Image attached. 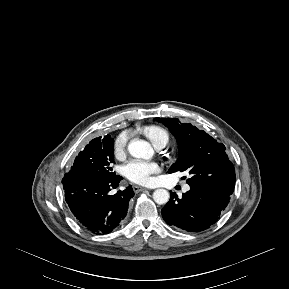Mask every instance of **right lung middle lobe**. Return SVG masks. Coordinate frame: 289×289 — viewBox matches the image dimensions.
Listing matches in <instances>:
<instances>
[{
    "mask_svg": "<svg viewBox=\"0 0 289 289\" xmlns=\"http://www.w3.org/2000/svg\"><path fill=\"white\" fill-rule=\"evenodd\" d=\"M113 144L114 139L110 135L91 140L85 149L78 154L71 170L95 178L112 175Z\"/></svg>",
    "mask_w": 289,
    "mask_h": 289,
    "instance_id": "dd1d6c3e",
    "label": "right lung middle lobe"
}]
</instances>
